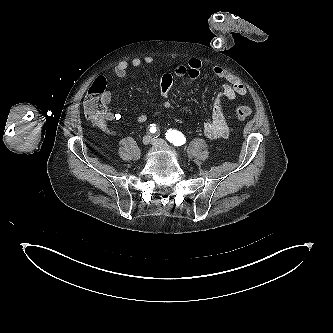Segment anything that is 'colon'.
<instances>
[{
	"label": "colon",
	"instance_id": "1",
	"mask_svg": "<svg viewBox=\"0 0 333 333\" xmlns=\"http://www.w3.org/2000/svg\"><path fill=\"white\" fill-rule=\"evenodd\" d=\"M106 92L105 79L98 77L90 86L84 100V113L89 120L96 122L104 117L107 109ZM251 113L249 106L242 105L236 108L235 117L243 121L250 117Z\"/></svg>",
	"mask_w": 333,
	"mask_h": 333
}]
</instances>
